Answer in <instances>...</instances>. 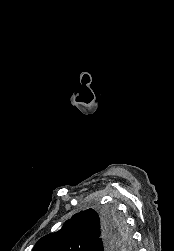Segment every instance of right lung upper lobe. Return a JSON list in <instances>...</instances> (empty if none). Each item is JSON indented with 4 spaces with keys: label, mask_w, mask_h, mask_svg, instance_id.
<instances>
[{
    "label": "right lung upper lobe",
    "mask_w": 174,
    "mask_h": 251,
    "mask_svg": "<svg viewBox=\"0 0 174 251\" xmlns=\"http://www.w3.org/2000/svg\"><path fill=\"white\" fill-rule=\"evenodd\" d=\"M103 216L93 209L81 211L66 221L61 230L41 238L32 251H96L102 235ZM124 237L118 232L112 249L120 250ZM101 247L97 251H104Z\"/></svg>",
    "instance_id": "obj_1"
}]
</instances>
